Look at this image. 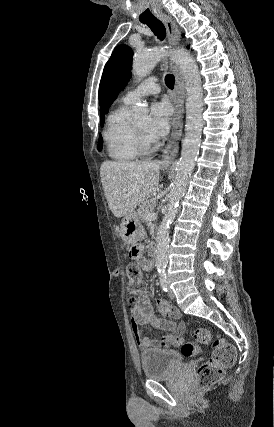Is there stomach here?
Here are the masks:
<instances>
[{
	"label": "stomach",
	"instance_id": "stomach-1",
	"mask_svg": "<svg viewBox=\"0 0 274 427\" xmlns=\"http://www.w3.org/2000/svg\"><path fill=\"white\" fill-rule=\"evenodd\" d=\"M120 237L124 243H136L146 235V231L138 219L136 212L124 215L120 223Z\"/></svg>",
	"mask_w": 274,
	"mask_h": 427
}]
</instances>
